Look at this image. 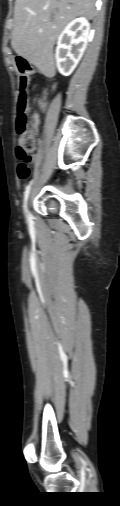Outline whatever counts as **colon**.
Listing matches in <instances>:
<instances>
[{
	"label": "colon",
	"instance_id": "5ec220e1",
	"mask_svg": "<svg viewBox=\"0 0 120 506\" xmlns=\"http://www.w3.org/2000/svg\"><path fill=\"white\" fill-rule=\"evenodd\" d=\"M15 63L21 72L20 89L22 94L18 101V117H17V131L19 133V143L16 150L19 163L17 166L18 176L22 179L27 178L30 169L28 163L30 162V153L35 147V133L34 128L36 125L35 114L32 113L29 106V98L25 92L29 83V73L31 67L27 62L25 55L19 54L15 56Z\"/></svg>",
	"mask_w": 120,
	"mask_h": 506
}]
</instances>
